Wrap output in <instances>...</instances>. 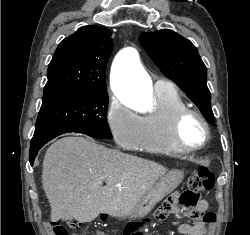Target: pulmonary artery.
<instances>
[{
  "label": "pulmonary artery",
  "mask_w": 250,
  "mask_h": 235,
  "mask_svg": "<svg viewBox=\"0 0 250 235\" xmlns=\"http://www.w3.org/2000/svg\"><path fill=\"white\" fill-rule=\"evenodd\" d=\"M172 84L166 80H163V79H159L155 82V89L156 90H163V89H167L169 87H171Z\"/></svg>",
  "instance_id": "1"
}]
</instances>
